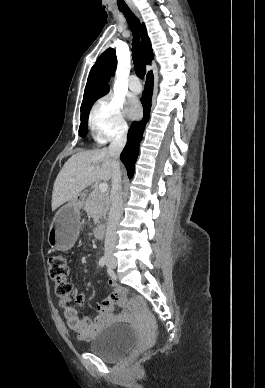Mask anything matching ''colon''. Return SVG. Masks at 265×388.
<instances>
[{
  "label": "colon",
  "mask_w": 265,
  "mask_h": 388,
  "mask_svg": "<svg viewBox=\"0 0 265 388\" xmlns=\"http://www.w3.org/2000/svg\"><path fill=\"white\" fill-rule=\"evenodd\" d=\"M68 260L62 255H54L48 261V276L54 283V293L65 305L73 297L74 288L67 280ZM142 352V348L134 349L132 356L137 357Z\"/></svg>",
  "instance_id": "obj_1"
}]
</instances>
